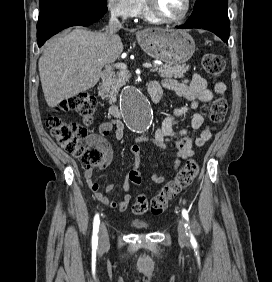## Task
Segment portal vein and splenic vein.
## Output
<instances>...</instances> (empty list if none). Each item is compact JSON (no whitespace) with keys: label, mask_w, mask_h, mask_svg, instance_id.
<instances>
[{"label":"portal vein and splenic vein","mask_w":272,"mask_h":282,"mask_svg":"<svg viewBox=\"0 0 272 282\" xmlns=\"http://www.w3.org/2000/svg\"><path fill=\"white\" fill-rule=\"evenodd\" d=\"M114 67H116L117 69H121V70H126L127 69V65L124 63H116L114 64ZM143 67L145 68H152L153 65L151 63H144Z\"/></svg>","instance_id":"obj_1"}]
</instances>
